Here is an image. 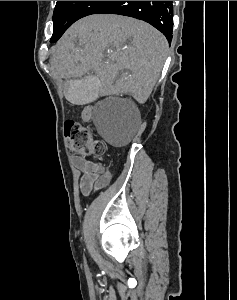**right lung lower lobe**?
Segmentation results:
<instances>
[{
    "label": "right lung lower lobe",
    "mask_w": 237,
    "mask_h": 300,
    "mask_svg": "<svg viewBox=\"0 0 237 300\" xmlns=\"http://www.w3.org/2000/svg\"><path fill=\"white\" fill-rule=\"evenodd\" d=\"M94 14H119L150 23L172 40V1H107Z\"/></svg>",
    "instance_id": "obj_1"
}]
</instances>
